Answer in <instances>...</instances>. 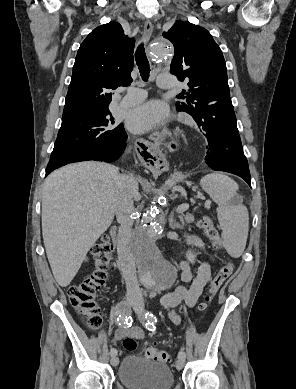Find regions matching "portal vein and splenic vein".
<instances>
[{
    "mask_svg": "<svg viewBox=\"0 0 296 389\" xmlns=\"http://www.w3.org/2000/svg\"><path fill=\"white\" fill-rule=\"evenodd\" d=\"M188 208H189L188 204H182V205L177 207L176 211H177V213H182V212H185L186 210H188Z\"/></svg>",
    "mask_w": 296,
    "mask_h": 389,
    "instance_id": "18ae733b",
    "label": "portal vein and splenic vein"
}]
</instances>
